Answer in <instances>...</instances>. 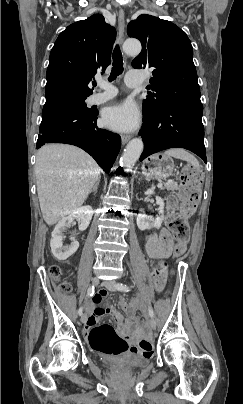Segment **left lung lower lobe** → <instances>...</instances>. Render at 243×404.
Masks as SVG:
<instances>
[{"label": "left lung lower lobe", "mask_w": 243, "mask_h": 404, "mask_svg": "<svg viewBox=\"0 0 243 404\" xmlns=\"http://www.w3.org/2000/svg\"><path fill=\"white\" fill-rule=\"evenodd\" d=\"M203 106L194 102H172L154 118L145 119L140 135L144 151L140 161L168 148H185L207 162L204 146Z\"/></svg>", "instance_id": "obj_1"}]
</instances>
